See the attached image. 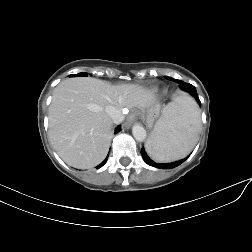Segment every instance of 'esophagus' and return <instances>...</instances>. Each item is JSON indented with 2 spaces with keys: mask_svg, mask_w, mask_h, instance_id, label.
<instances>
[{
  "mask_svg": "<svg viewBox=\"0 0 252 252\" xmlns=\"http://www.w3.org/2000/svg\"><path fill=\"white\" fill-rule=\"evenodd\" d=\"M134 121H135V115L130 114L124 123L125 128L129 129L132 126V124L134 123Z\"/></svg>",
  "mask_w": 252,
  "mask_h": 252,
  "instance_id": "obj_1",
  "label": "esophagus"
}]
</instances>
